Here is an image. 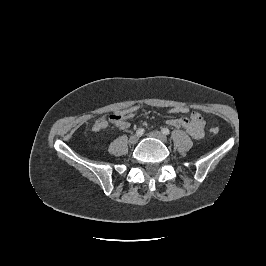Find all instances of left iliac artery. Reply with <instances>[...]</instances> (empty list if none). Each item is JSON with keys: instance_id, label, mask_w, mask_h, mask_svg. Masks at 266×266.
<instances>
[{"instance_id": "1", "label": "left iliac artery", "mask_w": 266, "mask_h": 266, "mask_svg": "<svg viewBox=\"0 0 266 266\" xmlns=\"http://www.w3.org/2000/svg\"><path fill=\"white\" fill-rule=\"evenodd\" d=\"M162 133L165 134V135H168V134H170V131H169L168 128H163L162 129Z\"/></svg>"}]
</instances>
